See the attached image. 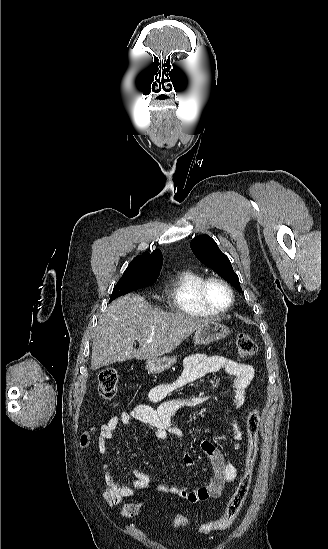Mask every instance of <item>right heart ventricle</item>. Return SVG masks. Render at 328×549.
<instances>
[{
  "mask_svg": "<svg viewBox=\"0 0 328 549\" xmlns=\"http://www.w3.org/2000/svg\"><path fill=\"white\" fill-rule=\"evenodd\" d=\"M206 279L203 273L186 270L174 276L168 283L162 297L163 303H175L178 319H208L198 306L201 304L198 291Z\"/></svg>",
  "mask_w": 328,
  "mask_h": 549,
  "instance_id": "obj_1",
  "label": "right heart ventricle"
}]
</instances>
